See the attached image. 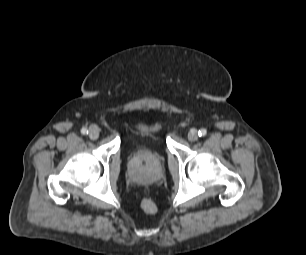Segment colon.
<instances>
[{
	"label": "colon",
	"mask_w": 306,
	"mask_h": 255,
	"mask_svg": "<svg viewBox=\"0 0 306 255\" xmlns=\"http://www.w3.org/2000/svg\"><path fill=\"white\" fill-rule=\"evenodd\" d=\"M141 208L147 214H154L157 211L156 204L150 198L142 199Z\"/></svg>",
	"instance_id": "1"
}]
</instances>
